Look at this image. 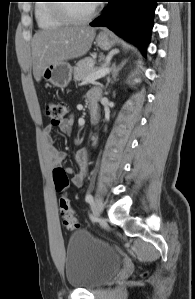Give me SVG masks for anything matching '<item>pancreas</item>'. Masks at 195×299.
<instances>
[{"label":"pancreas","mask_w":195,"mask_h":299,"mask_svg":"<svg viewBox=\"0 0 195 299\" xmlns=\"http://www.w3.org/2000/svg\"><path fill=\"white\" fill-rule=\"evenodd\" d=\"M94 65L95 60L91 57H86L80 60L74 67V79L77 81H84L93 72L98 70Z\"/></svg>","instance_id":"1"}]
</instances>
